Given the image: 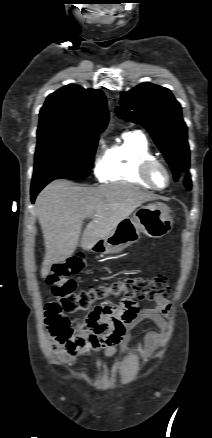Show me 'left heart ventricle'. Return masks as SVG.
Instances as JSON below:
<instances>
[{"label":"left heart ventricle","instance_id":"1","mask_svg":"<svg viewBox=\"0 0 212 438\" xmlns=\"http://www.w3.org/2000/svg\"><path fill=\"white\" fill-rule=\"evenodd\" d=\"M150 177L152 182L158 187H164L168 181L164 169L160 166H155L152 168Z\"/></svg>","mask_w":212,"mask_h":438}]
</instances>
